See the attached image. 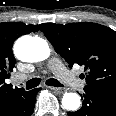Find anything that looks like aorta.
<instances>
[{
	"label": "aorta",
	"mask_w": 116,
	"mask_h": 116,
	"mask_svg": "<svg viewBox=\"0 0 116 116\" xmlns=\"http://www.w3.org/2000/svg\"><path fill=\"white\" fill-rule=\"evenodd\" d=\"M16 57L25 62H40L50 55L48 42L37 36L25 35L20 37L14 44ZM81 105L77 93H65L62 98V106L68 111H76Z\"/></svg>",
	"instance_id": "762f6f07"
}]
</instances>
